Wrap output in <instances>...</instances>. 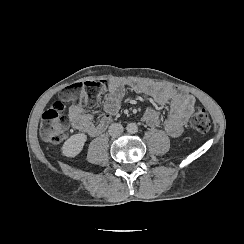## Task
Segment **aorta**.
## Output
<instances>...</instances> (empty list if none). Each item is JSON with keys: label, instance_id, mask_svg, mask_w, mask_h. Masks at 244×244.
<instances>
[{"label": "aorta", "instance_id": "1", "mask_svg": "<svg viewBox=\"0 0 244 244\" xmlns=\"http://www.w3.org/2000/svg\"><path fill=\"white\" fill-rule=\"evenodd\" d=\"M126 130L128 133L134 134L138 131V126L135 123H129L126 126Z\"/></svg>", "mask_w": 244, "mask_h": 244}]
</instances>
